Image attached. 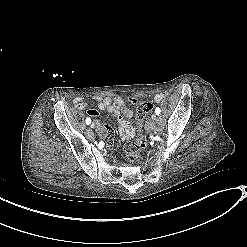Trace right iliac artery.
Masks as SVG:
<instances>
[{"mask_svg":"<svg viewBox=\"0 0 247 247\" xmlns=\"http://www.w3.org/2000/svg\"><path fill=\"white\" fill-rule=\"evenodd\" d=\"M91 123V119L88 117L87 119H86V124H90Z\"/></svg>","mask_w":247,"mask_h":247,"instance_id":"1","label":"right iliac artery"}]
</instances>
